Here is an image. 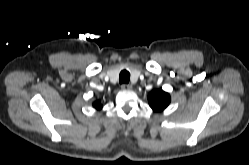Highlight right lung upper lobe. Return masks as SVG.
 I'll list each match as a JSON object with an SVG mask.
<instances>
[{
    "label": "right lung upper lobe",
    "instance_id": "1",
    "mask_svg": "<svg viewBox=\"0 0 249 165\" xmlns=\"http://www.w3.org/2000/svg\"><path fill=\"white\" fill-rule=\"evenodd\" d=\"M93 106L96 108V109H101L102 108V105L100 104L99 101H96L93 103Z\"/></svg>",
    "mask_w": 249,
    "mask_h": 165
}]
</instances>
